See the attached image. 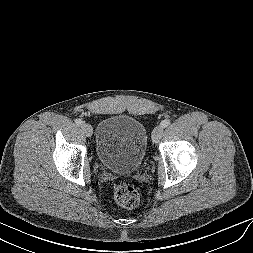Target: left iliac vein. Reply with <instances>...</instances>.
I'll return each mask as SVG.
<instances>
[{
	"label": "left iliac vein",
	"instance_id": "1",
	"mask_svg": "<svg viewBox=\"0 0 253 253\" xmlns=\"http://www.w3.org/2000/svg\"><path fill=\"white\" fill-rule=\"evenodd\" d=\"M163 127L162 126H157L153 132H152V141L153 143H158L162 137L163 134Z\"/></svg>",
	"mask_w": 253,
	"mask_h": 253
}]
</instances>
